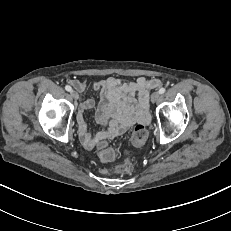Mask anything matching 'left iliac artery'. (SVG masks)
<instances>
[{
    "label": "left iliac artery",
    "mask_w": 231,
    "mask_h": 231,
    "mask_svg": "<svg viewBox=\"0 0 231 231\" xmlns=\"http://www.w3.org/2000/svg\"><path fill=\"white\" fill-rule=\"evenodd\" d=\"M165 91H166L165 88H160L159 93L163 94V93H165Z\"/></svg>",
    "instance_id": "44dca946"
}]
</instances>
